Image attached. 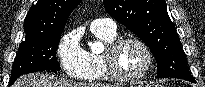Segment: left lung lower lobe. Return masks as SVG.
Masks as SVG:
<instances>
[{"label":"left lung lower lobe","instance_id":"1","mask_svg":"<svg viewBox=\"0 0 205 87\" xmlns=\"http://www.w3.org/2000/svg\"><path fill=\"white\" fill-rule=\"evenodd\" d=\"M191 82H195V80L193 79Z\"/></svg>","mask_w":205,"mask_h":87}]
</instances>
